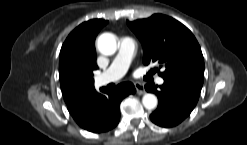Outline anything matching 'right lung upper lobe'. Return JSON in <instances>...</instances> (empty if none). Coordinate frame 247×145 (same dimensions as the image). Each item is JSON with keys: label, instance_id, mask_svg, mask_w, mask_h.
<instances>
[{"label": "right lung upper lobe", "instance_id": "right-lung-upper-lobe-1", "mask_svg": "<svg viewBox=\"0 0 247 145\" xmlns=\"http://www.w3.org/2000/svg\"><path fill=\"white\" fill-rule=\"evenodd\" d=\"M108 21L93 19L80 24L67 37L60 51L59 76L60 83L66 104L69 105L87 94L93 87L81 91L70 92L64 84L65 75L73 69H81L93 72L98 67L96 65V51L94 40L100 29Z\"/></svg>", "mask_w": 247, "mask_h": 145}]
</instances>
